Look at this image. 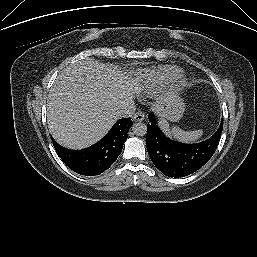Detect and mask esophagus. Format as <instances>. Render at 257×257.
Wrapping results in <instances>:
<instances>
[{
  "mask_svg": "<svg viewBox=\"0 0 257 257\" xmlns=\"http://www.w3.org/2000/svg\"><path fill=\"white\" fill-rule=\"evenodd\" d=\"M144 117H145V115H144V113H142V112H137V113H135L134 115H133V120L134 121H143L144 120Z\"/></svg>",
  "mask_w": 257,
  "mask_h": 257,
  "instance_id": "34e87169",
  "label": "esophagus"
}]
</instances>
